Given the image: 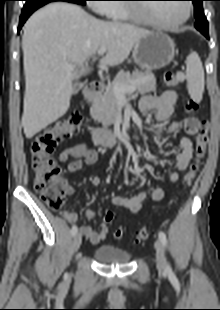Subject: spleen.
I'll return each mask as SVG.
<instances>
[{"label":"spleen","mask_w":220,"mask_h":310,"mask_svg":"<svg viewBox=\"0 0 220 310\" xmlns=\"http://www.w3.org/2000/svg\"><path fill=\"white\" fill-rule=\"evenodd\" d=\"M186 77L191 98L201 101L204 91V70L197 53L191 52L186 60Z\"/></svg>","instance_id":"3e777b00"}]
</instances>
